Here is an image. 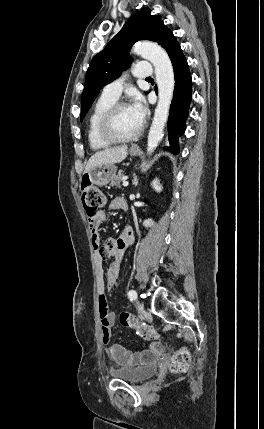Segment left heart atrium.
I'll use <instances>...</instances> for the list:
<instances>
[{
    "mask_svg": "<svg viewBox=\"0 0 264 429\" xmlns=\"http://www.w3.org/2000/svg\"><path fill=\"white\" fill-rule=\"evenodd\" d=\"M130 109L135 116V118L142 123L146 115V106L143 99L140 96H136L133 103L130 106Z\"/></svg>",
    "mask_w": 264,
    "mask_h": 429,
    "instance_id": "1",
    "label": "left heart atrium"
}]
</instances>
